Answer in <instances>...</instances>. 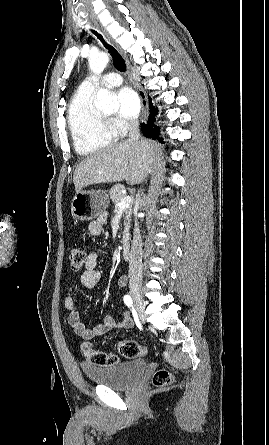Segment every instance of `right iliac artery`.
<instances>
[{
    "label": "right iliac artery",
    "instance_id": "obj_1",
    "mask_svg": "<svg viewBox=\"0 0 269 445\" xmlns=\"http://www.w3.org/2000/svg\"><path fill=\"white\" fill-rule=\"evenodd\" d=\"M124 303L129 307L133 309V301L132 298L129 295H125L124 298Z\"/></svg>",
    "mask_w": 269,
    "mask_h": 445
}]
</instances>
